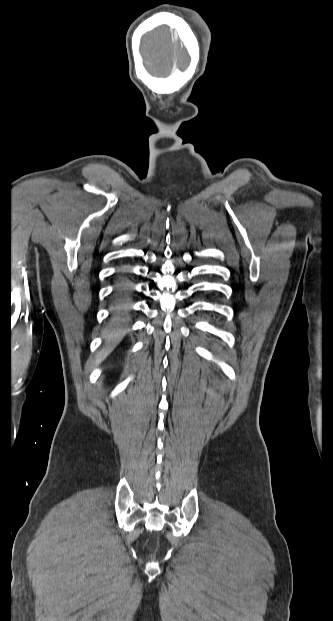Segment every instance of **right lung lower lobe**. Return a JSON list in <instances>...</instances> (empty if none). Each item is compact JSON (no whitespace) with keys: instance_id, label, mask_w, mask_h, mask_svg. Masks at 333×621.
<instances>
[{"instance_id":"98d812e1","label":"right lung lower lobe","mask_w":333,"mask_h":621,"mask_svg":"<svg viewBox=\"0 0 333 621\" xmlns=\"http://www.w3.org/2000/svg\"><path fill=\"white\" fill-rule=\"evenodd\" d=\"M120 290L117 292V298L119 301H124L130 292V286L128 285V276L124 273L119 278Z\"/></svg>"}]
</instances>
